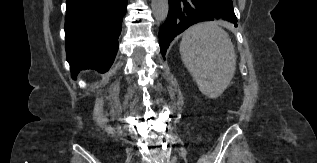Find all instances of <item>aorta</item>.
<instances>
[{
  "instance_id": "762f6f07",
  "label": "aorta",
  "mask_w": 317,
  "mask_h": 163,
  "mask_svg": "<svg viewBox=\"0 0 317 163\" xmlns=\"http://www.w3.org/2000/svg\"><path fill=\"white\" fill-rule=\"evenodd\" d=\"M153 16L157 21H164L169 11L168 0H151Z\"/></svg>"
}]
</instances>
